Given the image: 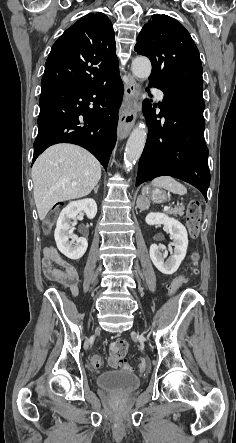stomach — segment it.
<instances>
[{"instance_id": "1", "label": "stomach", "mask_w": 236, "mask_h": 443, "mask_svg": "<svg viewBox=\"0 0 236 443\" xmlns=\"http://www.w3.org/2000/svg\"><path fill=\"white\" fill-rule=\"evenodd\" d=\"M142 194L156 203H163L168 198L167 194L163 190L148 186L142 189Z\"/></svg>"}]
</instances>
